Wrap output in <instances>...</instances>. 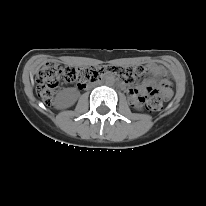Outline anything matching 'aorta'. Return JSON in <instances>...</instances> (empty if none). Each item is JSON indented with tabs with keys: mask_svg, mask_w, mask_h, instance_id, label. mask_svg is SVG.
Listing matches in <instances>:
<instances>
[{
	"mask_svg": "<svg viewBox=\"0 0 206 206\" xmlns=\"http://www.w3.org/2000/svg\"><path fill=\"white\" fill-rule=\"evenodd\" d=\"M106 83H107L108 85H111V84L113 83V81H112L111 79H109V80L106 81Z\"/></svg>",
	"mask_w": 206,
	"mask_h": 206,
	"instance_id": "1",
	"label": "aorta"
}]
</instances>
